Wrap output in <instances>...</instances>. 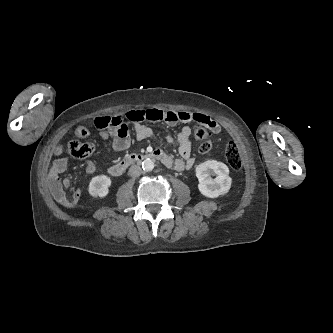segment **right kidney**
<instances>
[{
    "mask_svg": "<svg viewBox=\"0 0 333 333\" xmlns=\"http://www.w3.org/2000/svg\"><path fill=\"white\" fill-rule=\"evenodd\" d=\"M110 186L111 179L106 175H99L91 179L88 191L92 197H105Z\"/></svg>",
    "mask_w": 333,
    "mask_h": 333,
    "instance_id": "right-kidney-1",
    "label": "right kidney"
}]
</instances>
